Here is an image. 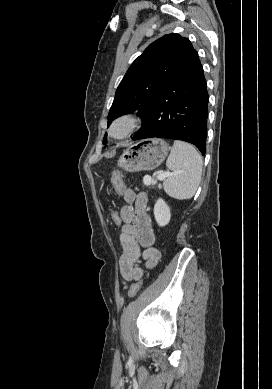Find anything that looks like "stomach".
Instances as JSON below:
<instances>
[{
    "instance_id": "1",
    "label": "stomach",
    "mask_w": 272,
    "mask_h": 389,
    "mask_svg": "<svg viewBox=\"0 0 272 389\" xmlns=\"http://www.w3.org/2000/svg\"><path fill=\"white\" fill-rule=\"evenodd\" d=\"M169 146L159 138L140 141L127 148L118 166L127 172L150 171L157 168L168 155Z\"/></svg>"
}]
</instances>
